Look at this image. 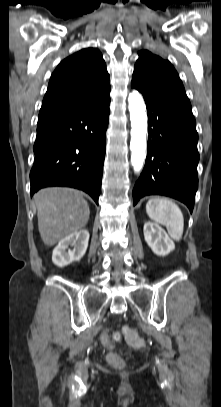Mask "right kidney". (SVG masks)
<instances>
[{
    "instance_id": "right-kidney-1",
    "label": "right kidney",
    "mask_w": 221,
    "mask_h": 407,
    "mask_svg": "<svg viewBox=\"0 0 221 407\" xmlns=\"http://www.w3.org/2000/svg\"><path fill=\"white\" fill-rule=\"evenodd\" d=\"M89 241V232L86 229L74 232L62 240L54 248L52 261L59 267L79 261L85 254ZM71 246L73 249H68Z\"/></svg>"
}]
</instances>
